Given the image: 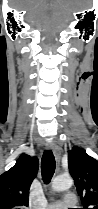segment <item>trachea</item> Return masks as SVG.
Masks as SVG:
<instances>
[{"label":"trachea","instance_id":"trachea-1","mask_svg":"<svg viewBox=\"0 0 98 209\" xmlns=\"http://www.w3.org/2000/svg\"><path fill=\"white\" fill-rule=\"evenodd\" d=\"M55 158L51 150L45 151L41 160L42 179L45 184H48L55 172Z\"/></svg>","mask_w":98,"mask_h":209}]
</instances>
